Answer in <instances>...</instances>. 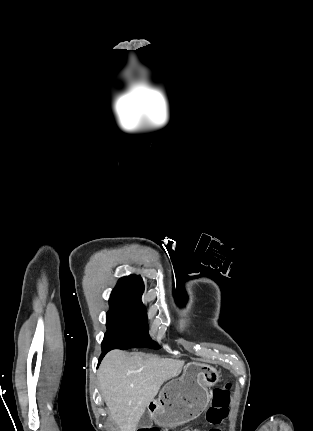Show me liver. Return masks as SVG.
Returning <instances> with one entry per match:
<instances>
[{"instance_id":"6515ba94","label":"liver","mask_w":313,"mask_h":431,"mask_svg":"<svg viewBox=\"0 0 313 431\" xmlns=\"http://www.w3.org/2000/svg\"><path fill=\"white\" fill-rule=\"evenodd\" d=\"M183 366V360L139 352L113 350L105 356L98 373L100 388L111 418L122 431H136L162 384L177 377Z\"/></svg>"}]
</instances>
